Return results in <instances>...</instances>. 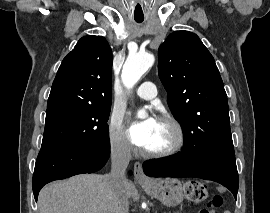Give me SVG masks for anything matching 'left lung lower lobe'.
Here are the masks:
<instances>
[{
    "label": "left lung lower lobe",
    "instance_id": "0a47b994",
    "mask_svg": "<svg viewBox=\"0 0 270 213\" xmlns=\"http://www.w3.org/2000/svg\"><path fill=\"white\" fill-rule=\"evenodd\" d=\"M143 169L151 177H195L212 180L227 187L237 198L238 172L234 149L214 153L200 151L184 141L181 153L144 162Z\"/></svg>",
    "mask_w": 270,
    "mask_h": 213
}]
</instances>
